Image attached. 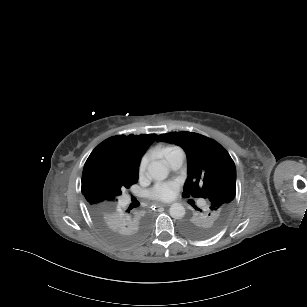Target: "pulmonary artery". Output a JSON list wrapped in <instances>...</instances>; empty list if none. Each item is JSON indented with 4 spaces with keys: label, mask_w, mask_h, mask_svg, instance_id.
Masks as SVG:
<instances>
[{
    "label": "pulmonary artery",
    "mask_w": 307,
    "mask_h": 307,
    "mask_svg": "<svg viewBox=\"0 0 307 307\" xmlns=\"http://www.w3.org/2000/svg\"><path fill=\"white\" fill-rule=\"evenodd\" d=\"M161 156L167 163L170 170L176 171L183 165L186 158V152L182 147L174 145L164 148L161 152ZM125 204L126 203L122 201V205Z\"/></svg>",
    "instance_id": "1"
}]
</instances>
